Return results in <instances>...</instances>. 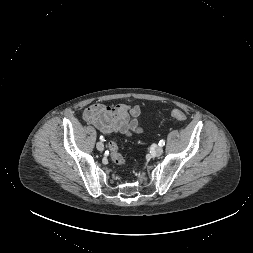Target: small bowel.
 <instances>
[{
    "label": "small bowel",
    "mask_w": 253,
    "mask_h": 253,
    "mask_svg": "<svg viewBox=\"0 0 253 253\" xmlns=\"http://www.w3.org/2000/svg\"><path fill=\"white\" fill-rule=\"evenodd\" d=\"M139 106L127 104L104 105L94 103L84 110L83 118L106 135L123 134L129 136L142 132Z\"/></svg>",
    "instance_id": "1"
}]
</instances>
